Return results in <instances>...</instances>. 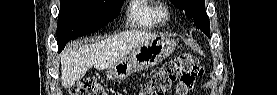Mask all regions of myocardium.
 Listing matches in <instances>:
<instances>
[{
	"mask_svg": "<svg viewBox=\"0 0 277 95\" xmlns=\"http://www.w3.org/2000/svg\"><path fill=\"white\" fill-rule=\"evenodd\" d=\"M152 16H153L154 20H156L158 22H164L169 17V9L164 4L156 5L153 8Z\"/></svg>",
	"mask_w": 277,
	"mask_h": 95,
	"instance_id": "myocardium-1",
	"label": "myocardium"
}]
</instances>
